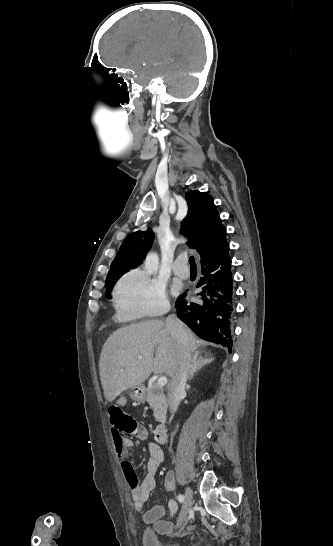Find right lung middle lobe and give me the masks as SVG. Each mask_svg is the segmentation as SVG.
<instances>
[{"label":"right lung middle lobe","instance_id":"obj_1","mask_svg":"<svg viewBox=\"0 0 333 546\" xmlns=\"http://www.w3.org/2000/svg\"><path fill=\"white\" fill-rule=\"evenodd\" d=\"M127 271L128 270L117 271V272H113V273L107 275L106 284H105L107 297L110 296V292L112 291V288H113L114 284L117 282V280Z\"/></svg>","mask_w":333,"mask_h":546}]
</instances>
